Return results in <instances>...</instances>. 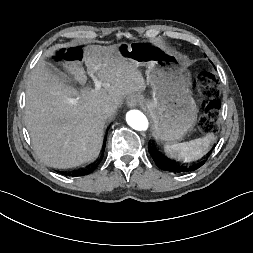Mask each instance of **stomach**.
Instances as JSON below:
<instances>
[{"label":"stomach","instance_id":"obj_1","mask_svg":"<svg viewBox=\"0 0 253 253\" xmlns=\"http://www.w3.org/2000/svg\"><path fill=\"white\" fill-rule=\"evenodd\" d=\"M119 52L147 68L153 94L152 100L143 99V104L152 118L155 137L166 144L181 141L193 130L198 112L189 90L188 70L177 56L146 42L121 43Z\"/></svg>","mask_w":253,"mask_h":253}]
</instances>
